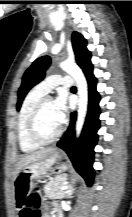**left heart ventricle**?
<instances>
[{"label": "left heart ventricle", "instance_id": "left-heart-ventricle-1", "mask_svg": "<svg viewBox=\"0 0 132 217\" xmlns=\"http://www.w3.org/2000/svg\"><path fill=\"white\" fill-rule=\"evenodd\" d=\"M59 127L60 125L55 116L54 102H48L43 108L39 118V131L43 137L50 138L58 131Z\"/></svg>", "mask_w": 132, "mask_h": 217}]
</instances>
